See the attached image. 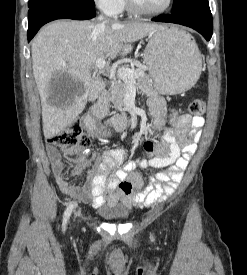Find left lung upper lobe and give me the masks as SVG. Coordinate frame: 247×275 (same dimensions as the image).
Returning a JSON list of instances; mask_svg holds the SVG:
<instances>
[{
    "instance_id": "obj_1",
    "label": "left lung upper lobe",
    "mask_w": 247,
    "mask_h": 275,
    "mask_svg": "<svg viewBox=\"0 0 247 275\" xmlns=\"http://www.w3.org/2000/svg\"><path fill=\"white\" fill-rule=\"evenodd\" d=\"M208 6V0H174L171 14H178L195 8Z\"/></svg>"
}]
</instances>
